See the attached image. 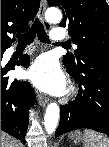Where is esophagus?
Listing matches in <instances>:
<instances>
[{"instance_id": "esophagus-1", "label": "esophagus", "mask_w": 109, "mask_h": 147, "mask_svg": "<svg viewBox=\"0 0 109 147\" xmlns=\"http://www.w3.org/2000/svg\"><path fill=\"white\" fill-rule=\"evenodd\" d=\"M45 9H46V1L45 0H41L40 1V7H39V10H38V17L43 22L45 29L47 31H50L51 25L44 20ZM37 97H38V100H39V104L41 106H45L48 103V101H49L48 97H46L45 95H43L41 93H38Z\"/></svg>"}]
</instances>
